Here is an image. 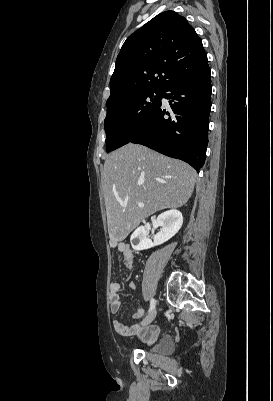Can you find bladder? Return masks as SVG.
Listing matches in <instances>:
<instances>
[{"label":"bladder","mask_w":273,"mask_h":401,"mask_svg":"<svg viewBox=\"0 0 273 401\" xmlns=\"http://www.w3.org/2000/svg\"><path fill=\"white\" fill-rule=\"evenodd\" d=\"M175 350V341L172 336L164 335L158 344L153 348V353L158 355H168Z\"/></svg>","instance_id":"1"}]
</instances>
